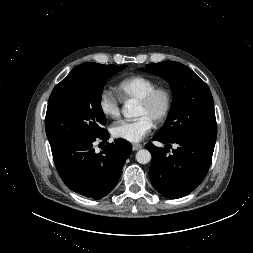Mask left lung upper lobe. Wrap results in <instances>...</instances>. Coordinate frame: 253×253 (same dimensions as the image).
I'll return each mask as SVG.
<instances>
[{
    "instance_id": "1",
    "label": "left lung upper lobe",
    "mask_w": 253,
    "mask_h": 253,
    "mask_svg": "<svg viewBox=\"0 0 253 253\" xmlns=\"http://www.w3.org/2000/svg\"><path fill=\"white\" fill-rule=\"evenodd\" d=\"M140 69L165 78L173 92L170 113L158 136L167 140L199 136L216 141L214 102L203 80L190 68L175 61L148 64L145 69Z\"/></svg>"
}]
</instances>
